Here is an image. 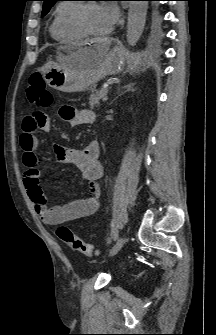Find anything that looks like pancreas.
<instances>
[{
  "label": "pancreas",
  "instance_id": "1",
  "mask_svg": "<svg viewBox=\"0 0 216 335\" xmlns=\"http://www.w3.org/2000/svg\"><path fill=\"white\" fill-rule=\"evenodd\" d=\"M107 94V90L95 91L89 97V106L91 109L98 108L100 100Z\"/></svg>",
  "mask_w": 216,
  "mask_h": 335
}]
</instances>
